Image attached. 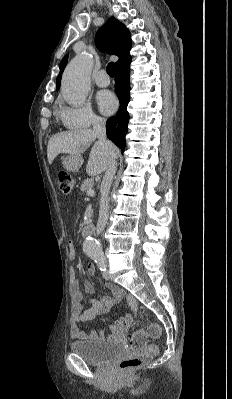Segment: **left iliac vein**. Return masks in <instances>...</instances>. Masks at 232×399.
Segmentation results:
<instances>
[{"label":"left iliac vein","mask_w":232,"mask_h":399,"mask_svg":"<svg viewBox=\"0 0 232 399\" xmlns=\"http://www.w3.org/2000/svg\"><path fill=\"white\" fill-rule=\"evenodd\" d=\"M103 279H110V272H102Z\"/></svg>","instance_id":"1"}]
</instances>
